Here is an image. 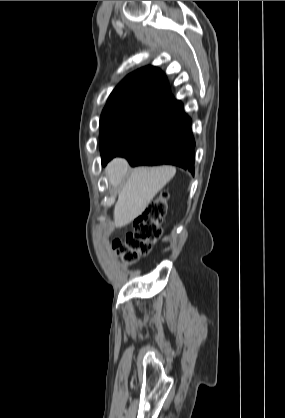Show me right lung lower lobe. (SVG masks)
<instances>
[{"mask_svg":"<svg viewBox=\"0 0 285 418\" xmlns=\"http://www.w3.org/2000/svg\"><path fill=\"white\" fill-rule=\"evenodd\" d=\"M194 147L191 119L181 107L160 126L116 156L125 157L131 166L171 164L194 172ZM113 157L103 158L102 164L106 165Z\"/></svg>","mask_w":285,"mask_h":418,"instance_id":"right-lung-lower-lobe-1","label":"right lung lower lobe"}]
</instances>
